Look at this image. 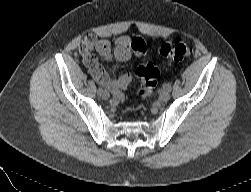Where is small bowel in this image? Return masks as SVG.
<instances>
[{
	"label": "small bowel",
	"mask_w": 251,
	"mask_h": 192,
	"mask_svg": "<svg viewBox=\"0 0 251 192\" xmlns=\"http://www.w3.org/2000/svg\"><path fill=\"white\" fill-rule=\"evenodd\" d=\"M146 51V44L141 38L130 39L127 36L118 37L112 45L105 38H98L88 34L85 36L80 47V54L85 66L88 68L94 80L100 85L109 89L114 97L122 101L124 99L123 90L132 81L130 74L116 76L115 67L109 69L102 67L94 52H97L107 61H125L132 55H142Z\"/></svg>",
	"instance_id": "c3829d8e"
}]
</instances>
